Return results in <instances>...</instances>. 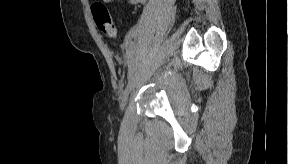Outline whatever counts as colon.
<instances>
[{
	"label": "colon",
	"instance_id": "obj_1",
	"mask_svg": "<svg viewBox=\"0 0 288 164\" xmlns=\"http://www.w3.org/2000/svg\"><path fill=\"white\" fill-rule=\"evenodd\" d=\"M93 19L97 27L106 36L113 39L116 37L115 26L112 22L110 11L103 4L99 3L92 8Z\"/></svg>",
	"mask_w": 288,
	"mask_h": 164
}]
</instances>
